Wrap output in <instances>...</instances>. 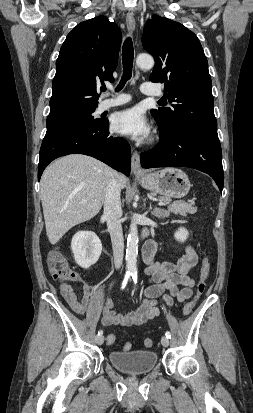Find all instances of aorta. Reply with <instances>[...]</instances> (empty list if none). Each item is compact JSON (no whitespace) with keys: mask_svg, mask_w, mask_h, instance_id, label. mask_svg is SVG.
Segmentation results:
<instances>
[{"mask_svg":"<svg viewBox=\"0 0 253 413\" xmlns=\"http://www.w3.org/2000/svg\"><path fill=\"white\" fill-rule=\"evenodd\" d=\"M136 64L141 69H151L154 66V59L151 55L140 54L137 56ZM138 255V230L136 223H131L130 231L127 237L126 248V268L127 272L132 273L136 271Z\"/></svg>","mask_w":253,"mask_h":413,"instance_id":"aorta-1","label":"aorta"}]
</instances>
